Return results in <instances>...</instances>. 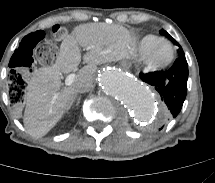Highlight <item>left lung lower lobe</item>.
I'll return each mask as SVG.
<instances>
[{"label": "left lung lower lobe", "mask_w": 215, "mask_h": 183, "mask_svg": "<svg viewBox=\"0 0 215 183\" xmlns=\"http://www.w3.org/2000/svg\"><path fill=\"white\" fill-rule=\"evenodd\" d=\"M140 78L159 92L168 116L176 117L187 94L188 64L185 55L178 57L170 69L140 73Z\"/></svg>", "instance_id": "left-lung-lower-lobe-1"}]
</instances>
